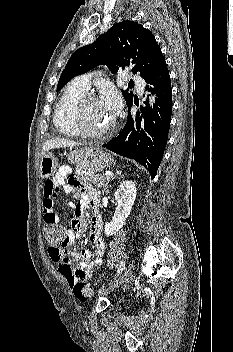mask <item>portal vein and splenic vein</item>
<instances>
[{
  "label": "portal vein and splenic vein",
  "mask_w": 233,
  "mask_h": 352,
  "mask_svg": "<svg viewBox=\"0 0 233 352\" xmlns=\"http://www.w3.org/2000/svg\"><path fill=\"white\" fill-rule=\"evenodd\" d=\"M104 175L107 176V177H110V176L113 175V173H111V172H106Z\"/></svg>",
  "instance_id": "obj_1"
}]
</instances>
